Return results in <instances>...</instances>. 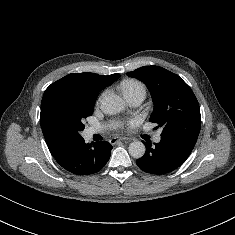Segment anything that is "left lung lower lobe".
Segmentation results:
<instances>
[{
    "mask_svg": "<svg viewBox=\"0 0 235 235\" xmlns=\"http://www.w3.org/2000/svg\"><path fill=\"white\" fill-rule=\"evenodd\" d=\"M195 143V140L184 137H161V141L155 143V146L144 142L146 153L136 163L147 173H169L185 162Z\"/></svg>",
    "mask_w": 235,
    "mask_h": 235,
    "instance_id": "1",
    "label": "left lung lower lobe"
}]
</instances>
